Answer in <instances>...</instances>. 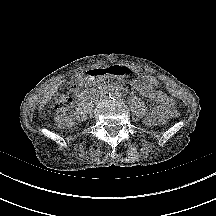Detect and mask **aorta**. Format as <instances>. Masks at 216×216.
<instances>
[{
	"label": "aorta",
	"mask_w": 216,
	"mask_h": 216,
	"mask_svg": "<svg viewBox=\"0 0 216 216\" xmlns=\"http://www.w3.org/2000/svg\"><path fill=\"white\" fill-rule=\"evenodd\" d=\"M119 91H118V89H112L111 90V92H110V95L112 96V97H116V96H119Z\"/></svg>",
	"instance_id": "aorta-1"
}]
</instances>
